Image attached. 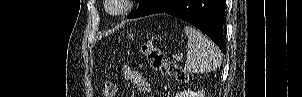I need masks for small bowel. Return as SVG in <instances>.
<instances>
[{"mask_svg":"<svg viewBox=\"0 0 302 97\" xmlns=\"http://www.w3.org/2000/svg\"><path fill=\"white\" fill-rule=\"evenodd\" d=\"M122 77L126 82L132 83L140 93L145 94L150 91V83L141 72L133 70L129 66H124Z\"/></svg>","mask_w":302,"mask_h":97,"instance_id":"obj_1","label":"small bowel"}]
</instances>
